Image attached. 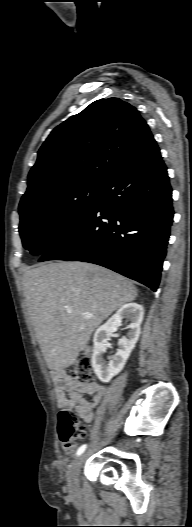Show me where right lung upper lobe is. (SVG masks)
Segmentation results:
<instances>
[{"mask_svg": "<svg viewBox=\"0 0 192 527\" xmlns=\"http://www.w3.org/2000/svg\"><path fill=\"white\" fill-rule=\"evenodd\" d=\"M152 140L134 106L119 98L97 100L48 136L20 205L82 183L105 185Z\"/></svg>", "mask_w": 192, "mask_h": 527, "instance_id": "obj_1", "label": "right lung upper lobe"}]
</instances>
